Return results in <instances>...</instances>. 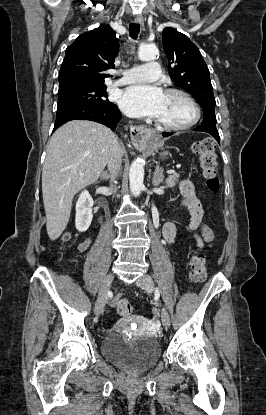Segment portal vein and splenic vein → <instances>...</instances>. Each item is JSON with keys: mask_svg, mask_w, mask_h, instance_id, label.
Returning <instances> with one entry per match:
<instances>
[{"mask_svg": "<svg viewBox=\"0 0 266 415\" xmlns=\"http://www.w3.org/2000/svg\"><path fill=\"white\" fill-rule=\"evenodd\" d=\"M167 173L168 174H176L175 170H168Z\"/></svg>", "mask_w": 266, "mask_h": 415, "instance_id": "18ae733b", "label": "portal vein and splenic vein"}]
</instances>
